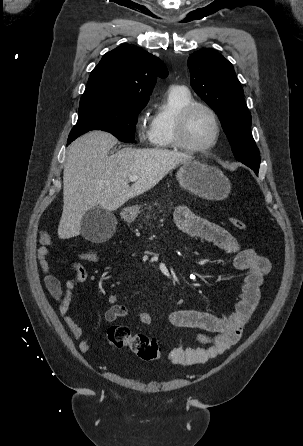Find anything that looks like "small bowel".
Returning a JSON list of instances; mask_svg holds the SVG:
<instances>
[{
	"mask_svg": "<svg viewBox=\"0 0 303 446\" xmlns=\"http://www.w3.org/2000/svg\"><path fill=\"white\" fill-rule=\"evenodd\" d=\"M174 219L178 229L183 233L203 239L226 253L233 254V266L239 271L247 272L240 300L235 305L234 311L229 315L217 316L198 310H176L170 313L169 320L173 325L197 331L198 340L207 346L199 348L175 347L168 355L169 360L179 365L201 364L224 353L237 343L258 305L260 287L265 275L270 271V262L253 249L241 247L236 238L225 228L194 214L186 206H180L176 209ZM51 245V236L47 233L40 234L36 257L45 275L46 288L59 303V313L71 335L80 340L79 350L83 353L90 352L92 349L90 342L82 339L83 328L74 321L69 313L74 290L88 279V272L81 264L71 263L69 268L75 275L66 282L65 288H63L61 281L51 274L48 262ZM118 301L119 297L116 294L107 298L108 308L104 318L109 323L118 318L126 317L128 314L127 307L119 304ZM138 317L144 325L152 323L151 313L147 310L141 311Z\"/></svg>",
	"mask_w": 303,
	"mask_h": 446,
	"instance_id": "small-bowel-1",
	"label": "small bowel"
}]
</instances>
